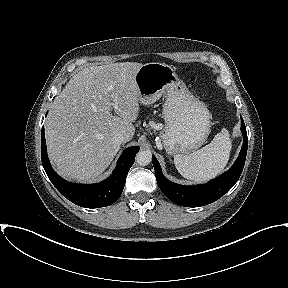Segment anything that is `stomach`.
I'll use <instances>...</instances> for the list:
<instances>
[{
    "mask_svg": "<svg viewBox=\"0 0 288 288\" xmlns=\"http://www.w3.org/2000/svg\"><path fill=\"white\" fill-rule=\"evenodd\" d=\"M141 104L150 105L166 95L165 126L160 132L169 155L184 154L201 147L210 134V112L178 77L174 67L151 62L135 74Z\"/></svg>",
    "mask_w": 288,
    "mask_h": 288,
    "instance_id": "1",
    "label": "stomach"
}]
</instances>
